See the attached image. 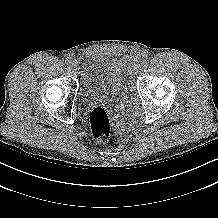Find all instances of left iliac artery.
I'll return each instance as SVG.
<instances>
[{
	"mask_svg": "<svg viewBox=\"0 0 218 218\" xmlns=\"http://www.w3.org/2000/svg\"><path fill=\"white\" fill-rule=\"evenodd\" d=\"M147 59H148V57H147V55H142V57H141V59H140V62L142 63V64H145L146 62H147Z\"/></svg>",
	"mask_w": 218,
	"mask_h": 218,
	"instance_id": "44dca946",
	"label": "left iliac artery"
}]
</instances>
